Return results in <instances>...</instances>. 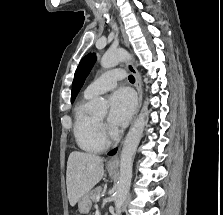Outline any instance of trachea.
I'll return each mask as SVG.
<instances>
[{"mask_svg":"<svg viewBox=\"0 0 223 215\" xmlns=\"http://www.w3.org/2000/svg\"><path fill=\"white\" fill-rule=\"evenodd\" d=\"M129 81L131 82V83H134L135 82V77L133 76V75H129Z\"/></svg>","mask_w":223,"mask_h":215,"instance_id":"1","label":"trachea"}]
</instances>
